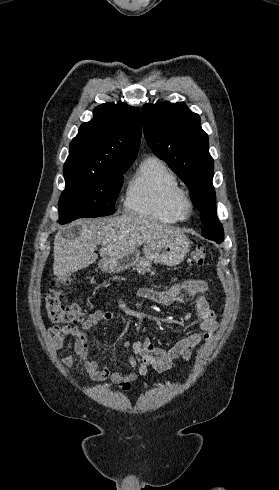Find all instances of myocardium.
<instances>
[{
	"instance_id": "myocardium-1",
	"label": "myocardium",
	"mask_w": 279,
	"mask_h": 490,
	"mask_svg": "<svg viewBox=\"0 0 279 490\" xmlns=\"http://www.w3.org/2000/svg\"><path fill=\"white\" fill-rule=\"evenodd\" d=\"M173 206L180 218L185 219L190 216L193 210V203L189 193L183 188L180 189L173 201Z\"/></svg>"
}]
</instances>
